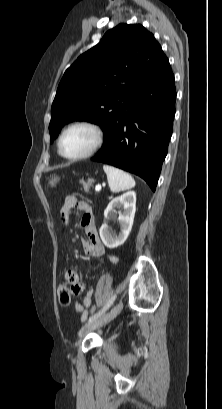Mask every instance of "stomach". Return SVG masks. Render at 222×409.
Here are the masks:
<instances>
[{"label": "stomach", "mask_w": 222, "mask_h": 409, "mask_svg": "<svg viewBox=\"0 0 222 409\" xmlns=\"http://www.w3.org/2000/svg\"><path fill=\"white\" fill-rule=\"evenodd\" d=\"M59 181V178L56 176H51L50 178H48L47 181V187H54L56 186L57 182Z\"/></svg>", "instance_id": "stomach-1"}]
</instances>
